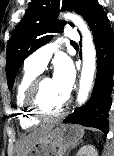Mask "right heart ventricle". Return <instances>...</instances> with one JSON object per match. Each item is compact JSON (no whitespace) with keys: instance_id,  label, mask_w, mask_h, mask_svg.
Segmentation results:
<instances>
[{"instance_id":"obj_1","label":"right heart ventricle","mask_w":114,"mask_h":156,"mask_svg":"<svg viewBox=\"0 0 114 156\" xmlns=\"http://www.w3.org/2000/svg\"><path fill=\"white\" fill-rule=\"evenodd\" d=\"M41 71L24 66L22 75L20 76L16 90H15V104H16V114L18 115L20 126L23 129H28L36 124H38L39 119L34 117L28 110L25 104V98L29 86L34 81V79L40 74Z\"/></svg>"}]
</instances>
